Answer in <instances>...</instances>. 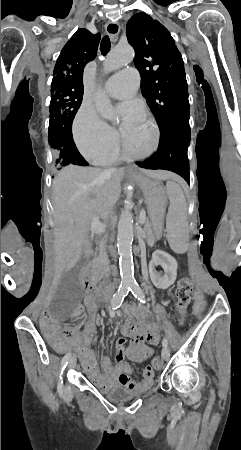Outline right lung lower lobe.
<instances>
[{"instance_id": "98d812e1", "label": "right lung lower lobe", "mask_w": 241, "mask_h": 450, "mask_svg": "<svg viewBox=\"0 0 241 450\" xmlns=\"http://www.w3.org/2000/svg\"><path fill=\"white\" fill-rule=\"evenodd\" d=\"M66 154L70 164L87 166L88 163L77 150L73 138H65Z\"/></svg>"}]
</instances>
